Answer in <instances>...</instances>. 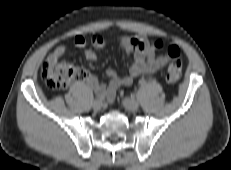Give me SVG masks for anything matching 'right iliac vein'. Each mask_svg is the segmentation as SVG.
I'll return each instance as SVG.
<instances>
[{
  "label": "right iliac vein",
  "mask_w": 231,
  "mask_h": 170,
  "mask_svg": "<svg viewBox=\"0 0 231 170\" xmlns=\"http://www.w3.org/2000/svg\"><path fill=\"white\" fill-rule=\"evenodd\" d=\"M92 106L94 110L98 111L103 107V101L101 99H96L94 100Z\"/></svg>",
  "instance_id": "right-iliac-vein-1"
}]
</instances>
